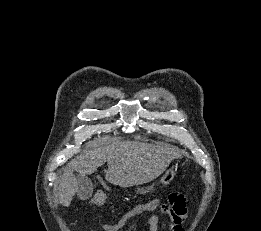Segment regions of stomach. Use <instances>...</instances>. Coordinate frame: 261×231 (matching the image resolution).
Here are the masks:
<instances>
[{"label":"stomach","mask_w":261,"mask_h":231,"mask_svg":"<svg viewBox=\"0 0 261 231\" xmlns=\"http://www.w3.org/2000/svg\"><path fill=\"white\" fill-rule=\"evenodd\" d=\"M176 173H177V166H173V167L169 168L165 172V174L161 177L160 182L162 184L170 183L174 179V177L176 176ZM152 189H153V186L145 187V188H137L136 192L138 194H145V193L150 192Z\"/></svg>","instance_id":"1"}]
</instances>
